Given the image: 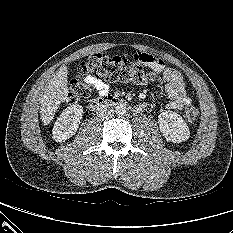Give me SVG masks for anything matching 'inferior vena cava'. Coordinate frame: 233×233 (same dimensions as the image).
I'll return each mask as SVG.
<instances>
[{
	"instance_id": "602c4592",
	"label": "inferior vena cava",
	"mask_w": 233,
	"mask_h": 233,
	"mask_svg": "<svg viewBox=\"0 0 233 233\" xmlns=\"http://www.w3.org/2000/svg\"><path fill=\"white\" fill-rule=\"evenodd\" d=\"M113 113L114 109L109 105H100L97 109V116L103 119L111 117Z\"/></svg>"
}]
</instances>
